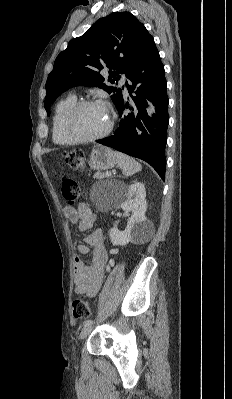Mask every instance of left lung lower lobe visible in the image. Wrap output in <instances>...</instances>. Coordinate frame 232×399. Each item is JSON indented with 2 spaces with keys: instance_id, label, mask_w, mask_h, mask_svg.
Returning <instances> with one entry per match:
<instances>
[{
  "instance_id": "0a47b994",
  "label": "left lung lower lobe",
  "mask_w": 232,
  "mask_h": 399,
  "mask_svg": "<svg viewBox=\"0 0 232 399\" xmlns=\"http://www.w3.org/2000/svg\"><path fill=\"white\" fill-rule=\"evenodd\" d=\"M128 79L130 84L126 82V86L131 100L129 104L122 99L117 107L119 127L112 136L96 142L146 161L164 180L169 100L164 66L154 39L142 50ZM147 100L155 105L152 118L146 113Z\"/></svg>"
}]
</instances>
